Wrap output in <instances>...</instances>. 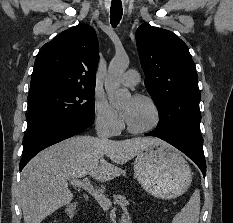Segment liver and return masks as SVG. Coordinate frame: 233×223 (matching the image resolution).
Instances as JSON below:
<instances>
[{"mask_svg":"<svg viewBox=\"0 0 233 223\" xmlns=\"http://www.w3.org/2000/svg\"><path fill=\"white\" fill-rule=\"evenodd\" d=\"M158 143L164 141L159 137L102 141L93 135H75L43 149L21 171L18 197L24 223H42L56 209L71 203L74 193L69 179L91 175L95 181H111L123 173L118 165Z\"/></svg>","mask_w":233,"mask_h":223,"instance_id":"liver-1","label":"liver"}]
</instances>
